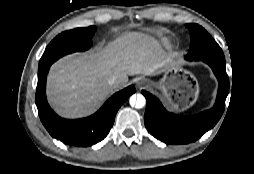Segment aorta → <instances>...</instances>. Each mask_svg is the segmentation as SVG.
<instances>
[{
	"mask_svg": "<svg viewBox=\"0 0 254 174\" xmlns=\"http://www.w3.org/2000/svg\"><path fill=\"white\" fill-rule=\"evenodd\" d=\"M130 104L140 109L146 105V99L142 94L133 95L130 98Z\"/></svg>",
	"mask_w": 254,
	"mask_h": 174,
	"instance_id": "obj_1",
	"label": "aorta"
}]
</instances>
